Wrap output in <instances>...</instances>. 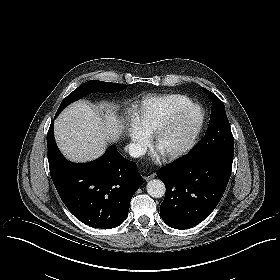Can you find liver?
Returning a JSON list of instances; mask_svg holds the SVG:
<instances>
[{
    "mask_svg": "<svg viewBox=\"0 0 280 280\" xmlns=\"http://www.w3.org/2000/svg\"><path fill=\"white\" fill-rule=\"evenodd\" d=\"M122 128L111 109L101 114L86 101H77L55 120L54 134L67 159L85 163L103 155L108 143L119 139Z\"/></svg>",
    "mask_w": 280,
    "mask_h": 280,
    "instance_id": "liver-1",
    "label": "liver"
}]
</instances>
